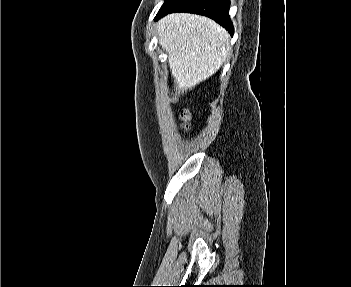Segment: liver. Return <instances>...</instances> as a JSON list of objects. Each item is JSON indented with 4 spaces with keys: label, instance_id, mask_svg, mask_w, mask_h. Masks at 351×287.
I'll list each match as a JSON object with an SVG mask.
<instances>
[{
    "label": "liver",
    "instance_id": "6515ba94",
    "mask_svg": "<svg viewBox=\"0 0 351 287\" xmlns=\"http://www.w3.org/2000/svg\"><path fill=\"white\" fill-rule=\"evenodd\" d=\"M159 44L168 53L174 78L172 102L192 90L221 67L228 55L229 33L213 20L188 13H173L158 22Z\"/></svg>",
    "mask_w": 351,
    "mask_h": 287
}]
</instances>
